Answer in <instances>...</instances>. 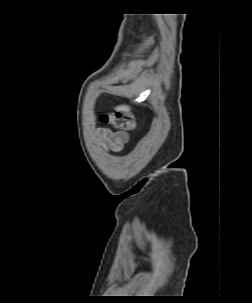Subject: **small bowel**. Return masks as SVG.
<instances>
[{
	"label": "small bowel",
	"instance_id": "c3829d8e",
	"mask_svg": "<svg viewBox=\"0 0 252 303\" xmlns=\"http://www.w3.org/2000/svg\"><path fill=\"white\" fill-rule=\"evenodd\" d=\"M97 135L100 145L105 150L113 153L121 152L129 137L127 131H112L109 128H98Z\"/></svg>",
	"mask_w": 252,
	"mask_h": 303
}]
</instances>
